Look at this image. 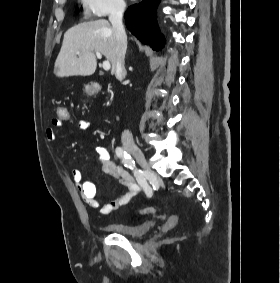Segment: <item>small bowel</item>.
Listing matches in <instances>:
<instances>
[{"label":"small bowel","instance_id":"c3829d8e","mask_svg":"<svg viewBox=\"0 0 280 283\" xmlns=\"http://www.w3.org/2000/svg\"><path fill=\"white\" fill-rule=\"evenodd\" d=\"M71 118V116H70ZM63 125V122H57V118L53 120L52 125L46 129V138L49 141H54L58 135V128ZM77 128L80 131H85L89 128V122L81 119L77 122ZM95 153L98 161L101 164V169L104 173L118 179L125 187V192L118 198L111 200L103 205L96 199V186L92 181L84 180L82 171L73 169L71 172L72 180L75 183L82 200L93 210H97L102 215H108L113 211L128 204L133 197L140 191V185L134 177L126 171L120 164L112 160L111 155L105 145H97Z\"/></svg>","mask_w":280,"mask_h":283}]
</instances>
